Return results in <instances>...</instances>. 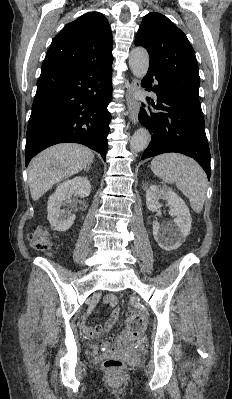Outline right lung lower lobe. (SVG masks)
I'll return each mask as SVG.
<instances>
[{
  "instance_id": "right-lung-lower-lobe-1",
  "label": "right lung lower lobe",
  "mask_w": 232,
  "mask_h": 399,
  "mask_svg": "<svg viewBox=\"0 0 232 399\" xmlns=\"http://www.w3.org/2000/svg\"><path fill=\"white\" fill-rule=\"evenodd\" d=\"M112 61L41 70L26 136V165L45 148L75 142L106 159Z\"/></svg>"
}]
</instances>
